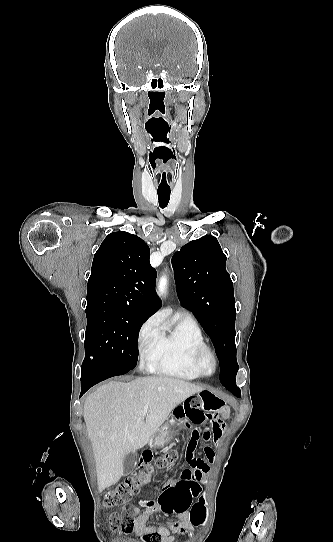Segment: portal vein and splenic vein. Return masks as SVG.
Wrapping results in <instances>:
<instances>
[{
	"instance_id": "1",
	"label": "portal vein and splenic vein",
	"mask_w": 333,
	"mask_h": 542,
	"mask_svg": "<svg viewBox=\"0 0 333 542\" xmlns=\"http://www.w3.org/2000/svg\"><path fill=\"white\" fill-rule=\"evenodd\" d=\"M148 406H144V412L143 414H147Z\"/></svg>"
}]
</instances>
